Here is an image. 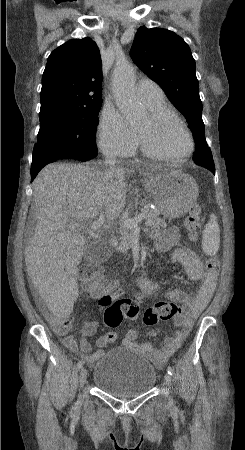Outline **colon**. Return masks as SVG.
Instances as JSON below:
<instances>
[{
    "instance_id": "5ec220e1",
    "label": "colon",
    "mask_w": 245,
    "mask_h": 450,
    "mask_svg": "<svg viewBox=\"0 0 245 450\" xmlns=\"http://www.w3.org/2000/svg\"><path fill=\"white\" fill-rule=\"evenodd\" d=\"M201 206L195 204L192 207L190 214L188 215L185 226L189 232L190 239L195 242L198 240V230L200 228ZM206 270L210 274H217L220 268V264L217 258L210 257L205 263ZM103 273V267L99 263H89L83 266L81 270V281L85 287H95L101 284L100 276ZM103 304L106 306L104 312V322L108 328L118 327L122 321L127 318L129 320H135L138 315V308L131 300H116L111 301L105 299ZM182 308L169 301H162L147 309L143 316L142 322L145 326H155L160 321L181 319ZM45 320L52 325L57 331L64 332L72 324V321L68 316H63L51 311L44 313ZM106 339L110 342L116 339V334L112 331H108Z\"/></svg>"
}]
</instances>
